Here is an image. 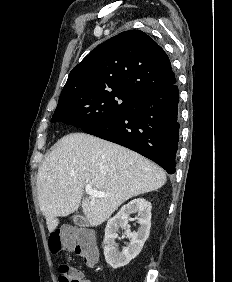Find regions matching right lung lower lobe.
I'll list each match as a JSON object with an SVG mask.
<instances>
[{
	"label": "right lung lower lobe",
	"instance_id": "right-lung-lower-lobe-1",
	"mask_svg": "<svg viewBox=\"0 0 232 282\" xmlns=\"http://www.w3.org/2000/svg\"><path fill=\"white\" fill-rule=\"evenodd\" d=\"M178 103L175 81L144 93L132 110L83 131L138 152L173 174L180 128Z\"/></svg>",
	"mask_w": 232,
	"mask_h": 282
}]
</instances>
